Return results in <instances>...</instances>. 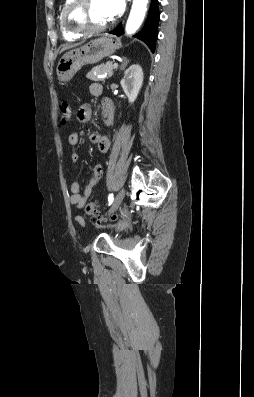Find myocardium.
<instances>
[{
	"label": "myocardium",
	"instance_id": "f54148a6",
	"mask_svg": "<svg viewBox=\"0 0 254 397\" xmlns=\"http://www.w3.org/2000/svg\"><path fill=\"white\" fill-rule=\"evenodd\" d=\"M90 0H71L63 13V24L65 28L76 34H93L106 30L112 24L108 22L101 26H90L82 17L83 11Z\"/></svg>",
	"mask_w": 254,
	"mask_h": 397
}]
</instances>
